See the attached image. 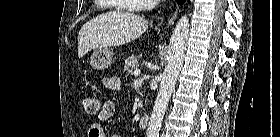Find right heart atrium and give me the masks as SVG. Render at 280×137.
<instances>
[{
	"mask_svg": "<svg viewBox=\"0 0 280 137\" xmlns=\"http://www.w3.org/2000/svg\"><path fill=\"white\" fill-rule=\"evenodd\" d=\"M136 2L138 3V8L140 10L147 9L152 5L151 0H136Z\"/></svg>",
	"mask_w": 280,
	"mask_h": 137,
	"instance_id": "1",
	"label": "right heart atrium"
}]
</instances>
